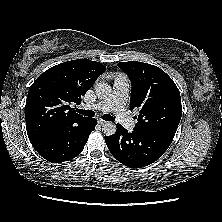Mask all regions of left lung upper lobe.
<instances>
[{
	"label": "left lung upper lobe",
	"mask_w": 222,
	"mask_h": 222,
	"mask_svg": "<svg viewBox=\"0 0 222 222\" xmlns=\"http://www.w3.org/2000/svg\"><path fill=\"white\" fill-rule=\"evenodd\" d=\"M118 67L132 85L130 108H139L134 129L174 133L182 116L180 92L174 81L159 67L143 62H120Z\"/></svg>",
	"instance_id": "1"
}]
</instances>
